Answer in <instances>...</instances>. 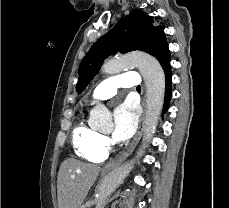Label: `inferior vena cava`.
<instances>
[{"label": "inferior vena cava", "instance_id": "602c4592", "mask_svg": "<svg viewBox=\"0 0 229 208\" xmlns=\"http://www.w3.org/2000/svg\"><path fill=\"white\" fill-rule=\"evenodd\" d=\"M145 122H146V118H145ZM145 128H146V134H149L150 128H149V126H147V124H145Z\"/></svg>", "mask_w": 229, "mask_h": 208}]
</instances>
